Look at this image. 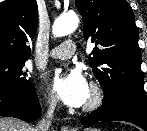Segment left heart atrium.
<instances>
[{
  "label": "left heart atrium",
  "instance_id": "left-heart-atrium-1",
  "mask_svg": "<svg viewBox=\"0 0 147 131\" xmlns=\"http://www.w3.org/2000/svg\"><path fill=\"white\" fill-rule=\"evenodd\" d=\"M51 87L64 104L72 107L85 104L90 94L85 76L77 69L57 72L52 78Z\"/></svg>",
  "mask_w": 147,
  "mask_h": 131
}]
</instances>
